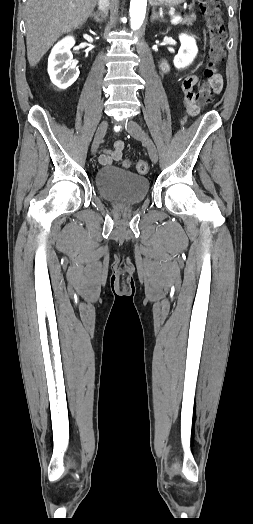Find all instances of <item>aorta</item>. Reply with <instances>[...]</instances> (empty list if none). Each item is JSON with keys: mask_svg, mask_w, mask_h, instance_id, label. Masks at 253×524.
I'll return each mask as SVG.
<instances>
[{"mask_svg": "<svg viewBox=\"0 0 253 524\" xmlns=\"http://www.w3.org/2000/svg\"><path fill=\"white\" fill-rule=\"evenodd\" d=\"M147 0H131L130 23L133 30H137L143 24L146 14Z\"/></svg>", "mask_w": 253, "mask_h": 524, "instance_id": "obj_1", "label": "aorta"}]
</instances>
